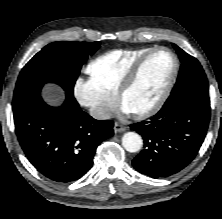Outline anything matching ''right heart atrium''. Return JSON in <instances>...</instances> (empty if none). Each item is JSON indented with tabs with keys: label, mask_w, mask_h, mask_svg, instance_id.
Segmentation results:
<instances>
[{
	"label": "right heart atrium",
	"mask_w": 222,
	"mask_h": 219,
	"mask_svg": "<svg viewBox=\"0 0 222 219\" xmlns=\"http://www.w3.org/2000/svg\"><path fill=\"white\" fill-rule=\"evenodd\" d=\"M76 101L98 119H107L115 107V99L101 94L90 79L78 77L73 85Z\"/></svg>",
	"instance_id": "obj_1"
}]
</instances>
